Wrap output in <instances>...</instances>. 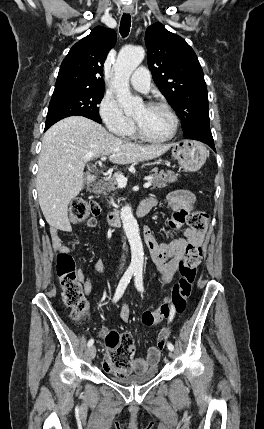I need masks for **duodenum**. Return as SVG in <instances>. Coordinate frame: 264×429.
Wrapping results in <instances>:
<instances>
[{"label": "duodenum", "instance_id": "410a0bca", "mask_svg": "<svg viewBox=\"0 0 264 429\" xmlns=\"http://www.w3.org/2000/svg\"><path fill=\"white\" fill-rule=\"evenodd\" d=\"M96 175H90L88 180L90 183H93L97 180ZM152 209V204L148 202H142L136 209L137 216H144ZM107 222L110 226H118L121 223V216L118 211H111L107 215Z\"/></svg>", "mask_w": 264, "mask_h": 429}]
</instances>
